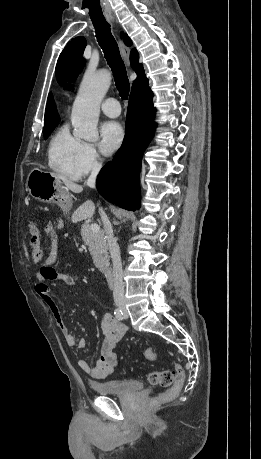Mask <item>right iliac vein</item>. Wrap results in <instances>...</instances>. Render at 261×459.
Here are the masks:
<instances>
[{
  "label": "right iliac vein",
  "instance_id": "1",
  "mask_svg": "<svg viewBox=\"0 0 261 459\" xmlns=\"http://www.w3.org/2000/svg\"><path fill=\"white\" fill-rule=\"evenodd\" d=\"M121 308H123L124 306L123 305H120Z\"/></svg>",
  "mask_w": 261,
  "mask_h": 459
}]
</instances>
